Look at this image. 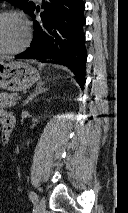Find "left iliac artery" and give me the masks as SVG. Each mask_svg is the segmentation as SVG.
Returning a JSON list of instances; mask_svg holds the SVG:
<instances>
[{
    "label": "left iliac artery",
    "instance_id": "obj_1",
    "mask_svg": "<svg viewBox=\"0 0 128 213\" xmlns=\"http://www.w3.org/2000/svg\"><path fill=\"white\" fill-rule=\"evenodd\" d=\"M29 198L32 202H37L38 201V195L33 192V191H30L29 192Z\"/></svg>",
    "mask_w": 128,
    "mask_h": 213
}]
</instances>
